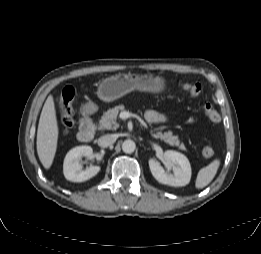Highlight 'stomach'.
<instances>
[{"mask_svg": "<svg viewBox=\"0 0 261 254\" xmlns=\"http://www.w3.org/2000/svg\"><path fill=\"white\" fill-rule=\"evenodd\" d=\"M164 89L165 81L159 75L118 73L100 82L97 95L105 102H112L135 90L158 94Z\"/></svg>", "mask_w": 261, "mask_h": 254, "instance_id": "0dacf381", "label": "stomach"}]
</instances>
